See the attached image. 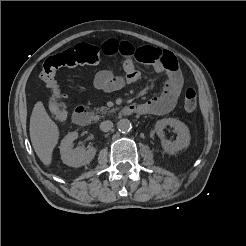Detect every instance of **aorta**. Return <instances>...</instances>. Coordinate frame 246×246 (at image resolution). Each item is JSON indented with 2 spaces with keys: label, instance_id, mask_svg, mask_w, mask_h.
<instances>
[{
  "label": "aorta",
  "instance_id": "1",
  "mask_svg": "<svg viewBox=\"0 0 246 246\" xmlns=\"http://www.w3.org/2000/svg\"><path fill=\"white\" fill-rule=\"evenodd\" d=\"M117 129L121 133H127L132 129V124H131L130 120H128V119H121L117 123Z\"/></svg>",
  "mask_w": 246,
  "mask_h": 246
}]
</instances>
